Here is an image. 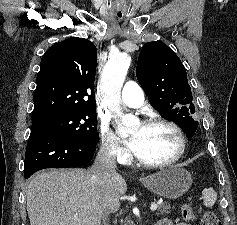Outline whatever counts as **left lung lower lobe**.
<instances>
[{
	"label": "left lung lower lobe",
	"instance_id": "left-lung-lower-lobe-1",
	"mask_svg": "<svg viewBox=\"0 0 237 225\" xmlns=\"http://www.w3.org/2000/svg\"><path fill=\"white\" fill-rule=\"evenodd\" d=\"M193 135H189V136H187L188 138H191Z\"/></svg>",
	"mask_w": 237,
	"mask_h": 225
}]
</instances>
